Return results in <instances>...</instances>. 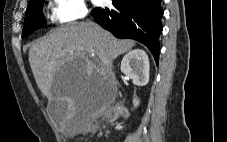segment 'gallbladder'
Instances as JSON below:
<instances>
[{"label":"gallbladder","mask_w":227,"mask_h":142,"mask_svg":"<svg viewBox=\"0 0 227 142\" xmlns=\"http://www.w3.org/2000/svg\"><path fill=\"white\" fill-rule=\"evenodd\" d=\"M47 111L52 120L60 123L67 116L68 103L62 100H54L49 103Z\"/></svg>","instance_id":"1"}]
</instances>
